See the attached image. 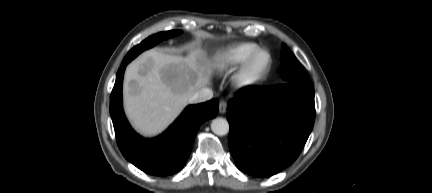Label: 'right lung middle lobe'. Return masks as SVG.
I'll return each instance as SVG.
<instances>
[{
    "mask_svg": "<svg viewBox=\"0 0 432 193\" xmlns=\"http://www.w3.org/2000/svg\"><path fill=\"white\" fill-rule=\"evenodd\" d=\"M180 33H181L180 30H172V31H167V32H160V33H157L155 35L148 37L147 39L142 41L139 45L132 48L128 52V54L125 56L123 62L129 63L132 59H134L142 51L155 46L158 42H160L164 39H167V38L172 37V36H176Z\"/></svg>",
    "mask_w": 432,
    "mask_h": 193,
    "instance_id": "dd1d6c3e",
    "label": "right lung middle lobe"
}]
</instances>
